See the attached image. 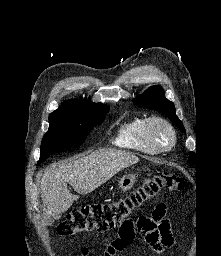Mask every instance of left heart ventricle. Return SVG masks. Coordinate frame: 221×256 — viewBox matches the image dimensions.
Instances as JSON below:
<instances>
[{"mask_svg": "<svg viewBox=\"0 0 221 256\" xmlns=\"http://www.w3.org/2000/svg\"><path fill=\"white\" fill-rule=\"evenodd\" d=\"M155 140L161 146H166L171 142V134L169 130L162 126L156 125L153 130Z\"/></svg>", "mask_w": 221, "mask_h": 256, "instance_id": "obj_1", "label": "left heart ventricle"}]
</instances>
